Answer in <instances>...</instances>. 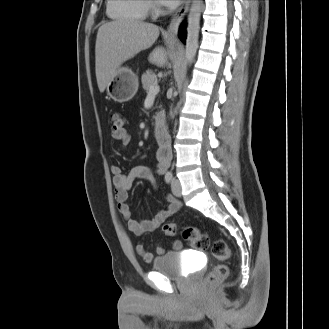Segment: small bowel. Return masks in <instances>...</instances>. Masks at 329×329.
I'll use <instances>...</instances> for the list:
<instances>
[{
  "mask_svg": "<svg viewBox=\"0 0 329 329\" xmlns=\"http://www.w3.org/2000/svg\"><path fill=\"white\" fill-rule=\"evenodd\" d=\"M122 148L128 147L132 142V136L128 131H124L121 136H114ZM168 167L166 161H159L155 165V170L158 174H163ZM111 172L113 175V186L114 194L117 202L118 210L123 219L127 221L128 229L135 235H141L148 231H153L157 229L167 218L174 215L179 208L181 203L178 199L172 195L166 196L167 207L159 212L150 220L137 221L132 219V212L127 204L129 190L132 187L133 182L136 179L146 180L151 183L152 186L156 187V179L148 166L137 165L132 167L127 173H124L121 166L114 164L111 166ZM171 247L174 250H181L182 243L179 240H174L171 242ZM136 252L141 256L145 262H151L153 260V255L147 249L144 243L138 242L135 245ZM165 252L162 246H157L156 253L158 255Z\"/></svg>",
  "mask_w": 329,
  "mask_h": 329,
  "instance_id": "obj_1",
  "label": "small bowel"
}]
</instances>
